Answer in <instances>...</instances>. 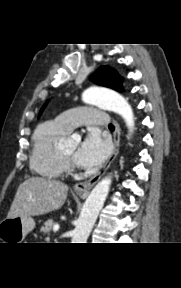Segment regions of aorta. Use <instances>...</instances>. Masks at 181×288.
Instances as JSON below:
<instances>
[{"label": "aorta", "instance_id": "obj_1", "mask_svg": "<svg viewBox=\"0 0 181 288\" xmlns=\"http://www.w3.org/2000/svg\"><path fill=\"white\" fill-rule=\"evenodd\" d=\"M82 99L87 104L97 105L119 114L124 119L129 131H133L134 114L132 108L120 94L92 87L83 93ZM111 182V176H107L92 189L78 218L73 232L72 243H86L98 214L104 205Z\"/></svg>", "mask_w": 181, "mask_h": 288}]
</instances>
